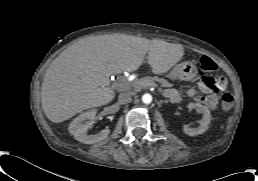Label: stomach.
Returning <instances> with one entry per match:
<instances>
[{"mask_svg": "<svg viewBox=\"0 0 258 181\" xmlns=\"http://www.w3.org/2000/svg\"><path fill=\"white\" fill-rule=\"evenodd\" d=\"M172 74L181 79H189L196 75V67L188 62H182L177 64Z\"/></svg>", "mask_w": 258, "mask_h": 181, "instance_id": "stomach-1", "label": "stomach"}]
</instances>
